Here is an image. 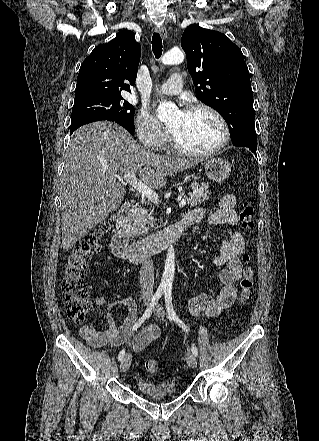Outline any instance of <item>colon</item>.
<instances>
[{
	"mask_svg": "<svg viewBox=\"0 0 319 441\" xmlns=\"http://www.w3.org/2000/svg\"><path fill=\"white\" fill-rule=\"evenodd\" d=\"M254 209L251 203L244 199L239 208V221L244 231L254 227ZM111 229L110 221H104L91 234L87 235L68 255L62 281V296L67 317L75 323L85 322L92 309L89 300V290L85 281L86 267L93 255L101 249L103 239ZM246 264L240 279V304L245 305L252 298L254 286V269L250 265L248 254L243 255ZM147 371L156 373L160 369V362L150 359L145 363Z\"/></svg>",
	"mask_w": 319,
	"mask_h": 441,
	"instance_id": "obj_1",
	"label": "colon"
}]
</instances>
